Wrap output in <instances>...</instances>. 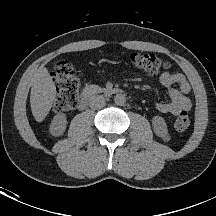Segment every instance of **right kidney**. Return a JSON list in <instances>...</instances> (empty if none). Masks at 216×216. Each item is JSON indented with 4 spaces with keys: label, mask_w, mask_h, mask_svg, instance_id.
Here are the masks:
<instances>
[{
    "label": "right kidney",
    "mask_w": 216,
    "mask_h": 216,
    "mask_svg": "<svg viewBox=\"0 0 216 216\" xmlns=\"http://www.w3.org/2000/svg\"><path fill=\"white\" fill-rule=\"evenodd\" d=\"M67 125L66 115L64 113L56 115L50 125V133L54 136H60L64 133Z\"/></svg>",
    "instance_id": "obj_1"
}]
</instances>
